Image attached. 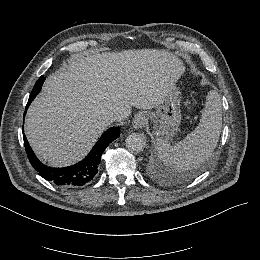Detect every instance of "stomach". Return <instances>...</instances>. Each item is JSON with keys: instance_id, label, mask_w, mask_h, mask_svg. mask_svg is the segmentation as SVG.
<instances>
[{"instance_id": "1", "label": "stomach", "mask_w": 260, "mask_h": 260, "mask_svg": "<svg viewBox=\"0 0 260 260\" xmlns=\"http://www.w3.org/2000/svg\"><path fill=\"white\" fill-rule=\"evenodd\" d=\"M148 118L153 124V133L157 137L172 139L182 119L179 88L174 86L172 91L156 106L155 112L148 113Z\"/></svg>"}]
</instances>
